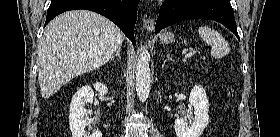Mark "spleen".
<instances>
[{
    "label": "spleen",
    "mask_w": 280,
    "mask_h": 137,
    "mask_svg": "<svg viewBox=\"0 0 280 137\" xmlns=\"http://www.w3.org/2000/svg\"><path fill=\"white\" fill-rule=\"evenodd\" d=\"M198 33L204 42L211 46L212 57L221 59L229 54V44L218 31L207 26H201Z\"/></svg>",
    "instance_id": "obj_1"
}]
</instances>
